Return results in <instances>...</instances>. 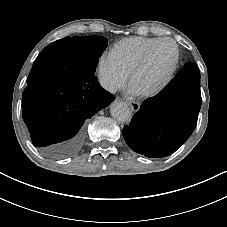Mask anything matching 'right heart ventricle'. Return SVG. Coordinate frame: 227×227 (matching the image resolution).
<instances>
[{
  "mask_svg": "<svg viewBox=\"0 0 227 227\" xmlns=\"http://www.w3.org/2000/svg\"><path fill=\"white\" fill-rule=\"evenodd\" d=\"M154 37H127L115 42L110 50L109 56L126 72L128 75L133 66L139 61L145 50L156 40Z\"/></svg>",
  "mask_w": 227,
  "mask_h": 227,
  "instance_id": "1",
  "label": "right heart ventricle"
}]
</instances>
